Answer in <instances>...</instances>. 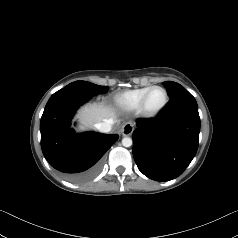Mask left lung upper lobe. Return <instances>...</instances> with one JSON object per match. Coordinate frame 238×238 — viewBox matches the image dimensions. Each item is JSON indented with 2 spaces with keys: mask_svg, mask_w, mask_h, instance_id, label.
Instances as JSON below:
<instances>
[{
  "mask_svg": "<svg viewBox=\"0 0 238 238\" xmlns=\"http://www.w3.org/2000/svg\"><path fill=\"white\" fill-rule=\"evenodd\" d=\"M165 87L167 88L168 94L171 98L175 97L180 92L185 91L186 89L180 84L172 81L164 82Z\"/></svg>",
  "mask_w": 238,
  "mask_h": 238,
  "instance_id": "left-lung-upper-lobe-1",
  "label": "left lung upper lobe"
}]
</instances>
